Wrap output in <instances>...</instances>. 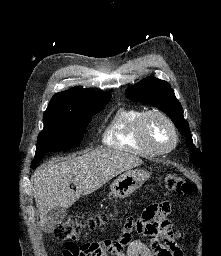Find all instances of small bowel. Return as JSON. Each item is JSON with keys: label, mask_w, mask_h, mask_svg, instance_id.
<instances>
[{"label": "small bowel", "mask_w": 221, "mask_h": 256, "mask_svg": "<svg viewBox=\"0 0 221 256\" xmlns=\"http://www.w3.org/2000/svg\"><path fill=\"white\" fill-rule=\"evenodd\" d=\"M171 211L169 202L148 206L138 219L125 221L123 234L116 239H104L83 244L77 253L64 256H183L178 244L179 233L167 219ZM134 233L144 235L148 242L132 238Z\"/></svg>", "instance_id": "c3829d8e"}]
</instances>
